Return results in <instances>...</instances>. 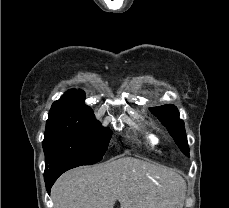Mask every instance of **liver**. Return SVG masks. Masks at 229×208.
Listing matches in <instances>:
<instances>
[{
	"label": "liver",
	"mask_w": 229,
	"mask_h": 208,
	"mask_svg": "<svg viewBox=\"0 0 229 208\" xmlns=\"http://www.w3.org/2000/svg\"><path fill=\"white\" fill-rule=\"evenodd\" d=\"M185 192L174 170L135 158L69 170L51 190L55 208H170Z\"/></svg>",
	"instance_id": "6515ba94"
}]
</instances>
